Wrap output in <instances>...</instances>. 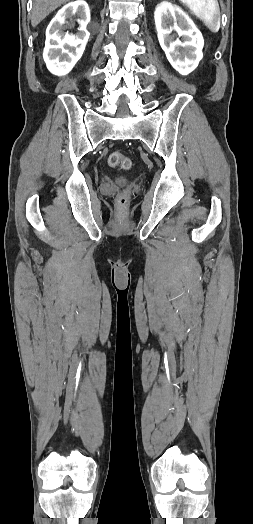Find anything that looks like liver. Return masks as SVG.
<instances>
[{"mask_svg":"<svg viewBox=\"0 0 253 524\" xmlns=\"http://www.w3.org/2000/svg\"><path fill=\"white\" fill-rule=\"evenodd\" d=\"M69 1L70 0H34L31 15L32 26H37L52 11Z\"/></svg>","mask_w":253,"mask_h":524,"instance_id":"6515ba94","label":"liver"}]
</instances>
